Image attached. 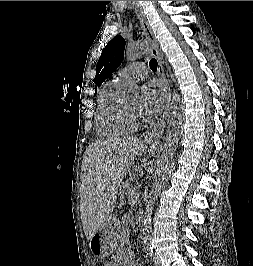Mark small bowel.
I'll return each instance as SVG.
<instances>
[{"mask_svg": "<svg viewBox=\"0 0 253 266\" xmlns=\"http://www.w3.org/2000/svg\"><path fill=\"white\" fill-rule=\"evenodd\" d=\"M104 266H138V264L132 254L118 251Z\"/></svg>", "mask_w": 253, "mask_h": 266, "instance_id": "small-bowel-1", "label": "small bowel"}]
</instances>
